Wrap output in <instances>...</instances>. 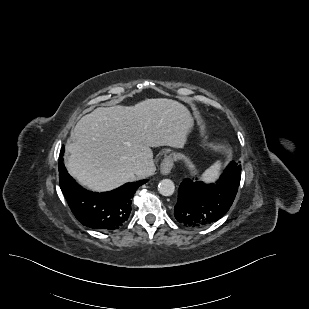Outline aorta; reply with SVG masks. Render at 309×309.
<instances>
[{
	"label": "aorta",
	"mask_w": 309,
	"mask_h": 309,
	"mask_svg": "<svg viewBox=\"0 0 309 309\" xmlns=\"http://www.w3.org/2000/svg\"><path fill=\"white\" fill-rule=\"evenodd\" d=\"M158 191L163 196H171L175 191V185L170 179H163L158 185Z\"/></svg>",
	"instance_id": "1"
}]
</instances>
